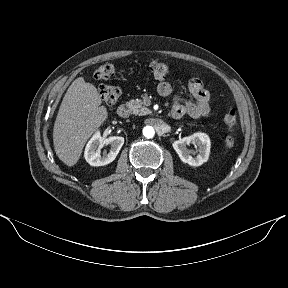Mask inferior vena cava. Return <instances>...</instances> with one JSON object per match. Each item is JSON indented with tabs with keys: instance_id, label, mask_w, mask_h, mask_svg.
Segmentation results:
<instances>
[{
	"instance_id": "602c4592",
	"label": "inferior vena cava",
	"mask_w": 288,
	"mask_h": 288,
	"mask_svg": "<svg viewBox=\"0 0 288 288\" xmlns=\"http://www.w3.org/2000/svg\"><path fill=\"white\" fill-rule=\"evenodd\" d=\"M148 126L151 128L156 129V135L158 137L168 136L170 134V128L167 123L164 122L162 119H154L150 118L147 121Z\"/></svg>"
}]
</instances>
